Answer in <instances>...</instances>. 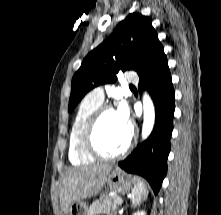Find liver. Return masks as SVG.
<instances>
[{
  "label": "liver",
  "mask_w": 221,
  "mask_h": 215,
  "mask_svg": "<svg viewBox=\"0 0 221 215\" xmlns=\"http://www.w3.org/2000/svg\"><path fill=\"white\" fill-rule=\"evenodd\" d=\"M112 166L101 164L72 168L64 174L59 188L61 211L71 204L96 195L105 185Z\"/></svg>",
  "instance_id": "liver-1"
}]
</instances>
